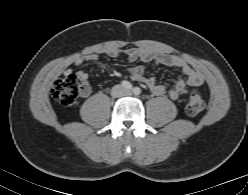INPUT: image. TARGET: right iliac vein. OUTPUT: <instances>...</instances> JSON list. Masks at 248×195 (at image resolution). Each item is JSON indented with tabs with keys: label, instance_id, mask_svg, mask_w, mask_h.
I'll return each mask as SVG.
<instances>
[{
	"label": "right iliac vein",
	"instance_id": "63e3f726",
	"mask_svg": "<svg viewBox=\"0 0 248 195\" xmlns=\"http://www.w3.org/2000/svg\"><path fill=\"white\" fill-rule=\"evenodd\" d=\"M120 89L118 87H115L113 89V94H119Z\"/></svg>",
	"mask_w": 248,
	"mask_h": 195
}]
</instances>
